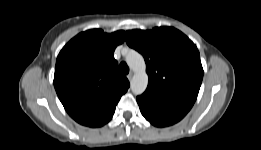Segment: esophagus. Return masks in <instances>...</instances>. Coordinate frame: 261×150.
Returning <instances> with one entry per match:
<instances>
[{
  "mask_svg": "<svg viewBox=\"0 0 261 150\" xmlns=\"http://www.w3.org/2000/svg\"><path fill=\"white\" fill-rule=\"evenodd\" d=\"M133 75H134V73H133V72H130V73L127 75V78H128V80H129V81H131V80H132V78H133Z\"/></svg>",
  "mask_w": 261,
  "mask_h": 150,
  "instance_id": "34e87169",
  "label": "esophagus"
}]
</instances>
